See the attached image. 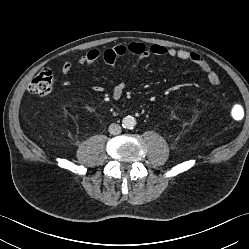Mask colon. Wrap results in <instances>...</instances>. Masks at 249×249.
I'll use <instances>...</instances> for the list:
<instances>
[{"instance_id":"1","label":"colon","mask_w":249,"mask_h":249,"mask_svg":"<svg viewBox=\"0 0 249 249\" xmlns=\"http://www.w3.org/2000/svg\"><path fill=\"white\" fill-rule=\"evenodd\" d=\"M54 80V71L50 68H44L31 81L29 91L38 96L48 95L53 88ZM231 113L234 119H239L243 115V109L240 105H235L233 106Z\"/></svg>"}]
</instances>
